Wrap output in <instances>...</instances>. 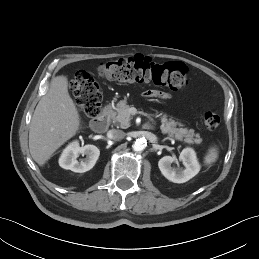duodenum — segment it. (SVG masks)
I'll list each match as a JSON object with an SVG mask.
<instances>
[{
    "label": "duodenum",
    "instance_id": "obj_1",
    "mask_svg": "<svg viewBox=\"0 0 259 259\" xmlns=\"http://www.w3.org/2000/svg\"><path fill=\"white\" fill-rule=\"evenodd\" d=\"M110 112L108 109H105L99 116L94 118L92 122V128L96 132H105L109 126Z\"/></svg>",
    "mask_w": 259,
    "mask_h": 259
}]
</instances>
